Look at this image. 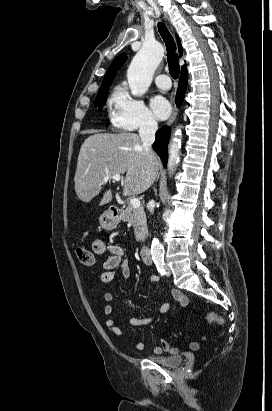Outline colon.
I'll return each mask as SVG.
<instances>
[{"instance_id": "1", "label": "colon", "mask_w": 272, "mask_h": 411, "mask_svg": "<svg viewBox=\"0 0 272 411\" xmlns=\"http://www.w3.org/2000/svg\"><path fill=\"white\" fill-rule=\"evenodd\" d=\"M76 254H77V258L79 260V262L85 266H92L94 265V255L93 253L85 248V247H78L76 249ZM207 321L208 322H219L222 323L223 319L221 317H219L218 315L214 314V313H210L207 315Z\"/></svg>"}]
</instances>
